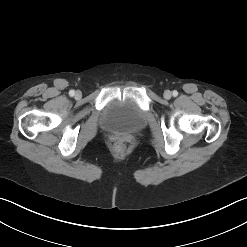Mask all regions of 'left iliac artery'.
I'll return each mask as SVG.
<instances>
[{
	"mask_svg": "<svg viewBox=\"0 0 247 247\" xmlns=\"http://www.w3.org/2000/svg\"><path fill=\"white\" fill-rule=\"evenodd\" d=\"M172 94L174 97H176L178 95V92L176 90H174Z\"/></svg>",
	"mask_w": 247,
	"mask_h": 247,
	"instance_id": "1",
	"label": "left iliac artery"
}]
</instances>
